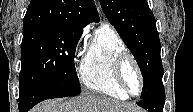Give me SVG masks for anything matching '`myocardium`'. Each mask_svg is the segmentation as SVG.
I'll return each mask as SVG.
<instances>
[{
    "instance_id": "myocardium-1",
    "label": "myocardium",
    "mask_w": 193,
    "mask_h": 112,
    "mask_svg": "<svg viewBox=\"0 0 193 112\" xmlns=\"http://www.w3.org/2000/svg\"><path fill=\"white\" fill-rule=\"evenodd\" d=\"M128 63H130L134 67L139 80V91L137 93H133L131 91L125 78L124 70L125 66ZM113 73L118 85L122 88L123 91L126 92L128 96L135 97L139 96L142 93L144 88V79L140 66L132 53L127 50H124L116 55L113 61Z\"/></svg>"
}]
</instances>
